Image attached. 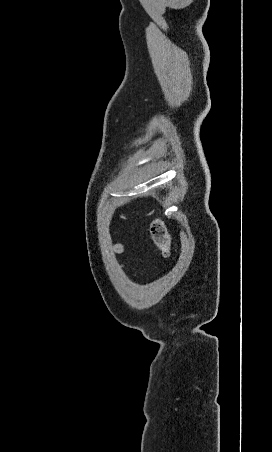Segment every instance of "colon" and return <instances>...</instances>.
<instances>
[{
	"label": "colon",
	"instance_id": "obj_1",
	"mask_svg": "<svg viewBox=\"0 0 272 452\" xmlns=\"http://www.w3.org/2000/svg\"><path fill=\"white\" fill-rule=\"evenodd\" d=\"M150 234L161 256L167 258L171 251V237L162 218L155 216L151 220Z\"/></svg>",
	"mask_w": 272,
	"mask_h": 452
}]
</instances>
